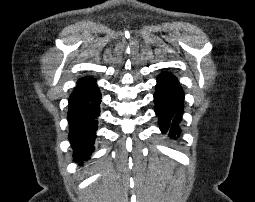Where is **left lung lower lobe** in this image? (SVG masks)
<instances>
[{"label": "left lung lower lobe", "mask_w": 255, "mask_h": 202, "mask_svg": "<svg viewBox=\"0 0 255 202\" xmlns=\"http://www.w3.org/2000/svg\"><path fill=\"white\" fill-rule=\"evenodd\" d=\"M154 101L161 132H169L175 138L180 132L178 125L182 120L184 107V92L176 77L169 73L158 76Z\"/></svg>", "instance_id": "0a47b994"}]
</instances>
